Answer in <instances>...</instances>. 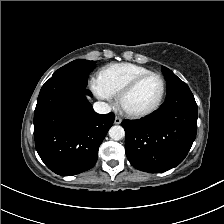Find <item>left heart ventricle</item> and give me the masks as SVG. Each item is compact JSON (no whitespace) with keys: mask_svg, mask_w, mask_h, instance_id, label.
Returning <instances> with one entry per match:
<instances>
[{"mask_svg":"<svg viewBox=\"0 0 224 224\" xmlns=\"http://www.w3.org/2000/svg\"><path fill=\"white\" fill-rule=\"evenodd\" d=\"M160 91V80L157 77H149L124 98L123 106L128 111L148 109L158 99Z\"/></svg>","mask_w":224,"mask_h":224,"instance_id":"left-heart-ventricle-1","label":"left heart ventricle"}]
</instances>
